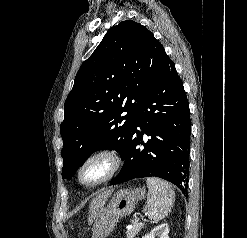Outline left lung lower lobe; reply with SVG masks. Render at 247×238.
<instances>
[{
    "instance_id": "obj_1",
    "label": "left lung lower lobe",
    "mask_w": 247,
    "mask_h": 238,
    "mask_svg": "<svg viewBox=\"0 0 247 238\" xmlns=\"http://www.w3.org/2000/svg\"><path fill=\"white\" fill-rule=\"evenodd\" d=\"M144 134L150 136L146 142L142 140ZM190 134L186 93L174 63L167 57L137 113L122 156L123 167L110 185L159 177L186 193Z\"/></svg>"
}]
</instances>
